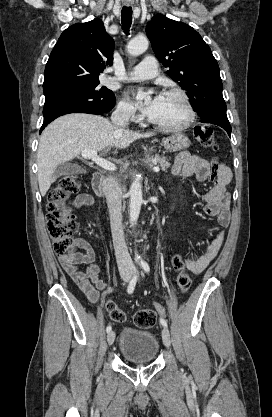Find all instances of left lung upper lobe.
I'll list each match as a JSON object with an SVG mask.
<instances>
[{
	"label": "left lung upper lobe",
	"mask_w": 272,
	"mask_h": 417,
	"mask_svg": "<svg viewBox=\"0 0 272 417\" xmlns=\"http://www.w3.org/2000/svg\"><path fill=\"white\" fill-rule=\"evenodd\" d=\"M156 57L187 91L202 122L231 127L222 96L219 66L198 32L185 23L156 15L146 26Z\"/></svg>",
	"instance_id": "obj_1"
}]
</instances>
